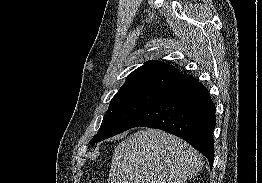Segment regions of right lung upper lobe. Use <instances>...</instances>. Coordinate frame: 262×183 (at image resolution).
<instances>
[{"label": "right lung upper lobe", "mask_w": 262, "mask_h": 183, "mask_svg": "<svg viewBox=\"0 0 262 183\" xmlns=\"http://www.w3.org/2000/svg\"><path fill=\"white\" fill-rule=\"evenodd\" d=\"M184 74L169 64L149 61L130 73L118 93L154 90L159 91Z\"/></svg>", "instance_id": "obj_1"}]
</instances>
